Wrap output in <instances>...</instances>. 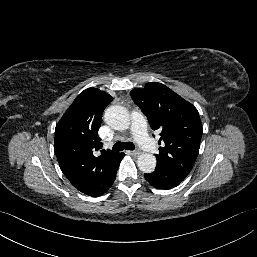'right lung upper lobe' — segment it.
Here are the masks:
<instances>
[{
    "label": "right lung upper lobe",
    "mask_w": 257,
    "mask_h": 257,
    "mask_svg": "<svg viewBox=\"0 0 257 257\" xmlns=\"http://www.w3.org/2000/svg\"><path fill=\"white\" fill-rule=\"evenodd\" d=\"M112 100L109 94L88 88L76 97L55 128L54 151L63 174L79 191L93 197L107 188L120 155L107 152L95 156L103 145L98 137L102 113Z\"/></svg>",
    "instance_id": "right-lung-upper-lobe-1"
}]
</instances>
